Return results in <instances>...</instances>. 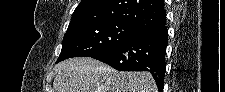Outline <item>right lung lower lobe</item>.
I'll return each mask as SVG.
<instances>
[{
	"instance_id": "obj_1",
	"label": "right lung lower lobe",
	"mask_w": 225,
	"mask_h": 92,
	"mask_svg": "<svg viewBox=\"0 0 225 92\" xmlns=\"http://www.w3.org/2000/svg\"><path fill=\"white\" fill-rule=\"evenodd\" d=\"M168 43L166 23L142 31L135 38L106 49L92 58L119 71H149L159 89L163 91L165 55Z\"/></svg>"
}]
</instances>
